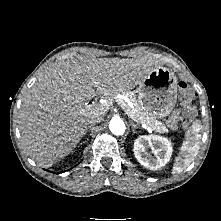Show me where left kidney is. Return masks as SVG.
<instances>
[{"label": "left kidney", "instance_id": "5707ae66", "mask_svg": "<svg viewBox=\"0 0 221 221\" xmlns=\"http://www.w3.org/2000/svg\"><path fill=\"white\" fill-rule=\"evenodd\" d=\"M151 148L154 157L147 152ZM134 155L138 162L150 170L165 166L172 155L171 142L158 135L139 136L134 142Z\"/></svg>", "mask_w": 221, "mask_h": 221}]
</instances>
